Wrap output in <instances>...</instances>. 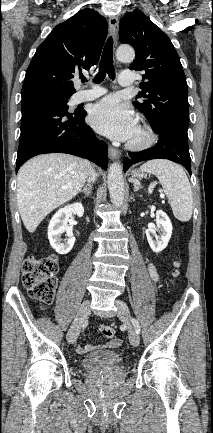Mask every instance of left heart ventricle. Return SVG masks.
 Listing matches in <instances>:
<instances>
[{
    "label": "left heart ventricle",
    "mask_w": 213,
    "mask_h": 433,
    "mask_svg": "<svg viewBox=\"0 0 213 433\" xmlns=\"http://www.w3.org/2000/svg\"><path fill=\"white\" fill-rule=\"evenodd\" d=\"M142 138V134L140 132V130L138 129V127L136 128L133 136L131 137V139L129 141H138Z\"/></svg>",
    "instance_id": "obj_1"
}]
</instances>
